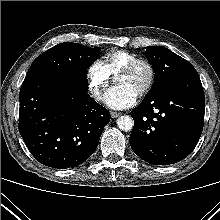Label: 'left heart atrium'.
I'll return each instance as SVG.
<instances>
[{"instance_id":"left-heart-atrium-1","label":"left heart atrium","mask_w":220,"mask_h":220,"mask_svg":"<svg viewBox=\"0 0 220 220\" xmlns=\"http://www.w3.org/2000/svg\"><path fill=\"white\" fill-rule=\"evenodd\" d=\"M138 93L128 85H119L109 89L104 97L105 104L112 109L122 110L135 104Z\"/></svg>"}]
</instances>
